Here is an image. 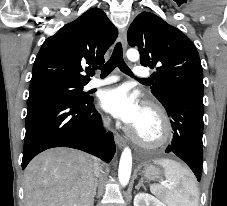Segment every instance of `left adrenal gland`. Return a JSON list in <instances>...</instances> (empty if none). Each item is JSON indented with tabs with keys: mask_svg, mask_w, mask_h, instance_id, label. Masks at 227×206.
Segmentation results:
<instances>
[{
	"mask_svg": "<svg viewBox=\"0 0 227 206\" xmlns=\"http://www.w3.org/2000/svg\"><path fill=\"white\" fill-rule=\"evenodd\" d=\"M141 186L145 189V186H144V184H143V179H141V180L139 181V183L135 186V189L138 190Z\"/></svg>",
	"mask_w": 227,
	"mask_h": 206,
	"instance_id": "1",
	"label": "left adrenal gland"
}]
</instances>
